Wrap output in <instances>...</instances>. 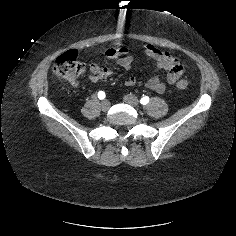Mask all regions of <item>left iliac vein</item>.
<instances>
[{
  "instance_id": "1",
  "label": "left iliac vein",
  "mask_w": 236,
  "mask_h": 236,
  "mask_svg": "<svg viewBox=\"0 0 236 236\" xmlns=\"http://www.w3.org/2000/svg\"><path fill=\"white\" fill-rule=\"evenodd\" d=\"M123 99H124V102H126L127 104H129L133 107H138V105H139L138 99L132 94L124 95Z\"/></svg>"
}]
</instances>
